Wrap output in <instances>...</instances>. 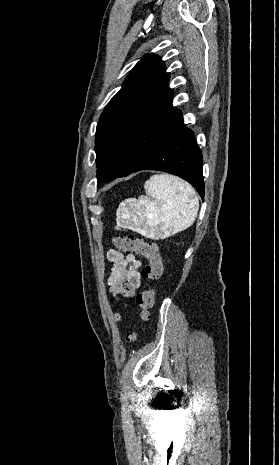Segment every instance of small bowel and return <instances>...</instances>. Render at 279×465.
Returning a JSON list of instances; mask_svg holds the SVG:
<instances>
[{
  "mask_svg": "<svg viewBox=\"0 0 279 465\" xmlns=\"http://www.w3.org/2000/svg\"><path fill=\"white\" fill-rule=\"evenodd\" d=\"M106 257L113 264L107 279L109 293L116 304L126 306L120 296L134 297L136 290L140 288L142 282L141 262L134 254H123L116 249L108 250ZM115 321H121L119 314H115Z\"/></svg>",
  "mask_w": 279,
  "mask_h": 465,
  "instance_id": "c3829d8e",
  "label": "small bowel"
}]
</instances>
